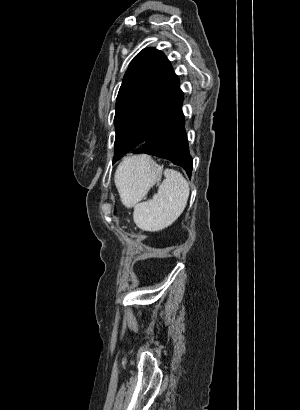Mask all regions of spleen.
I'll list each match as a JSON object with an SVG mask.
<instances>
[{
  "label": "spleen",
  "instance_id": "spleen-1",
  "mask_svg": "<svg viewBox=\"0 0 300 410\" xmlns=\"http://www.w3.org/2000/svg\"><path fill=\"white\" fill-rule=\"evenodd\" d=\"M137 158L125 159L115 173V184L122 197L128 187V173L136 168ZM165 179L152 199L134 206L135 224L144 231H160L177 220L189 198V184L183 175L173 169H165Z\"/></svg>",
  "mask_w": 300,
  "mask_h": 410
}]
</instances>
